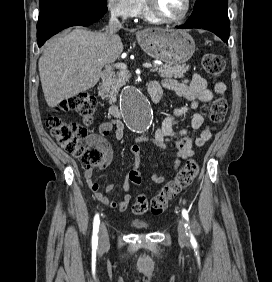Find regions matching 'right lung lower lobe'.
<instances>
[{
  "label": "right lung lower lobe",
  "instance_id": "right-lung-lower-lobe-1",
  "mask_svg": "<svg viewBox=\"0 0 272 282\" xmlns=\"http://www.w3.org/2000/svg\"><path fill=\"white\" fill-rule=\"evenodd\" d=\"M106 11L107 5L85 2H60L42 8L37 23L38 46L64 28L96 22Z\"/></svg>",
  "mask_w": 272,
  "mask_h": 282
}]
</instances>
